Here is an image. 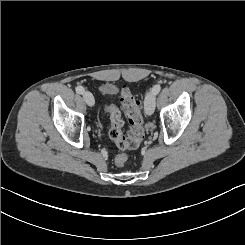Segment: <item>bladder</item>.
Segmentation results:
<instances>
[{
    "label": "bladder",
    "instance_id": "bladder-1",
    "mask_svg": "<svg viewBox=\"0 0 245 245\" xmlns=\"http://www.w3.org/2000/svg\"><path fill=\"white\" fill-rule=\"evenodd\" d=\"M115 90L116 86L111 83H104L100 86V91L106 95L113 93Z\"/></svg>",
    "mask_w": 245,
    "mask_h": 245
}]
</instances>
